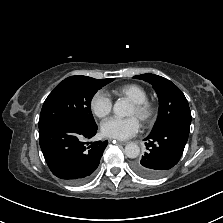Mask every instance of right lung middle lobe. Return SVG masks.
Here are the masks:
<instances>
[{
    "label": "right lung middle lobe",
    "instance_id": "right-lung-middle-lobe-1",
    "mask_svg": "<svg viewBox=\"0 0 223 223\" xmlns=\"http://www.w3.org/2000/svg\"><path fill=\"white\" fill-rule=\"evenodd\" d=\"M110 79L71 76L60 82L46 98L39 119V127L57 120H73L88 127L96 126L91 113L94 94Z\"/></svg>",
    "mask_w": 223,
    "mask_h": 223
}]
</instances>
